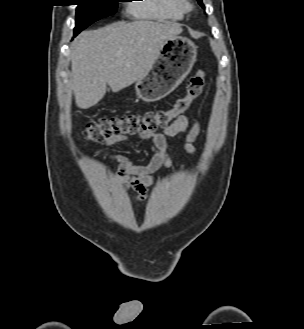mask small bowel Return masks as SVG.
<instances>
[{
    "mask_svg": "<svg viewBox=\"0 0 304 329\" xmlns=\"http://www.w3.org/2000/svg\"><path fill=\"white\" fill-rule=\"evenodd\" d=\"M200 123L197 120L190 122L188 117L180 115L175 118L170 125L161 132L153 133L141 138L151 142L150 148L152 157L149 163L144 165H135L127 157L115 155L112 159L118 163V179L124 190L133 189L136 194L131 198L134 202L144 201L153 184L152 174L161 167L170 168L173 166L172 160L168 154L167 138L174 137L180 133L187 132L184 149L187 153L195 152L194 142L200 133ZM127 140L125 135H114L103 141V147H108Z\"/></svg>",
    "mask_w": 304,
    "mask_h": 329,
    "instance_id": "c3829d8e",
    "label": "small bowel"
}]
</instances>
